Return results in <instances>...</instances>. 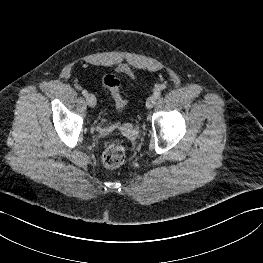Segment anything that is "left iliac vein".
Returning a JSON list of instances; mask_svg holds the SVG:
<instances>
[{"instance_id": "obj_1", "label": "left iliac vein", "mask_w": 263, "mask_h": 263, "mask_svg": "<svg viewBox=\"0 0 263 263\" xmlns=\"http://www.w3.org/2000/svg\"><path fill=\"white\" fill-rule=\"evenodd\" d=\"M155 103H156V98H155L154 96H150V97L147 99V101H146V107H147L148 109H151V108L154 107Z\"/></svg>"}]
</instances>
